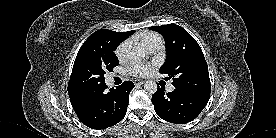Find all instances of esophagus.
<instances>
[{
    "instance_id": "obj_1",
    "label": "esophagus",
    "mask_w": 276,
    "mask_h": 138,
    "mask_svg": "<svg viewBox=\"0 0 276 138\" xmlns=\"http://www.w3.org/2000/svg\"><path fill=\"white\" fill-rule=\"evenodd\" d=\"M144 82H145V81L140 80V79H135V80H134V84H135V85H142V84H144Z\"/></svg>"
}]
</instances>
